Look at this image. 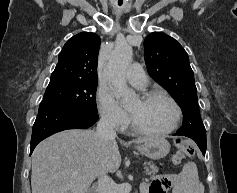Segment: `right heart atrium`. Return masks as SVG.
Segmentation results:
<instances>
[{
	"label": "right heart atrium",
	"mask_w": 237,
	"mask_h": 193,
	"mask_svg": "<svg viewBox=\"0 0 237 193\" xmlns=\"http://www.w3.org/2000/svg\"><path fill=\"white\" fill-rule=\"evenodd\" d=\"M97 101L99 115L107 125L116 130H124L127 127L128 115L108 89L102 87L98 89Z\"/></svg>",
	"instance_id": "1"
}]
</instances>
